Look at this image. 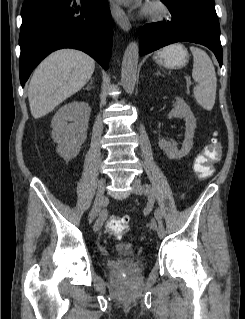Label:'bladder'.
<instances>
[{"mask_svg": "<svg viewBox=\"0 0 245 319\" xmlns=\"http://www.w3.org/2000/svg\"><path fill=\"white\" fill-rule=\"evenodd\" d=\"M118 253L126 256H135L138 253L136 246L131 243H122L117 246Z\"/></svg>", "mask_w": 245, "mask_h": 319, "instance_id": "bladder-1", "label": "bladder"}]
</instances>
